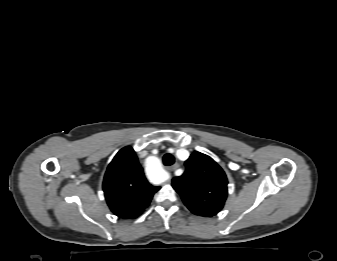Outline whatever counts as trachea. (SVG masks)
<instances>
[{
  "mask_svg": "<svg viewBox=\"0 0 337 261\" xmlns=\"http://www.w3.org/2000/svg\"><path fill=\"white\" fill-rule=\"evenodd\" d=\"M174 162H175V158L171 154H165L163 156V163H164V165L170 166V165L174 164Z\"/></svg>",
  "mask_w": 337,
  "mask_h": 261,
  "instance_id": "3493384b",
  "label": "trachea"
}]
</instances>
